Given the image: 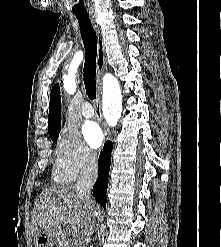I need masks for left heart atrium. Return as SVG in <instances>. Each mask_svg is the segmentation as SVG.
Returning a JSON list of instances; mask_svg holds the SVG:
<instances>
[{"label": "left heart atrium", "instance_id": "1", "mask_svg": "<svg viewBox=\"0 0 221 247\" xmlns=\"http://www.w3.org/2000/svg\"><path fill=\"white\" fill-rule=\"evenodd\" d=\"M82 136L85 142L93 149L101 146L104 135L99 125L94 121H87L82 126Z\"/></svg>", "mask_w": 221, "mask_h": 247}]
</instances>
